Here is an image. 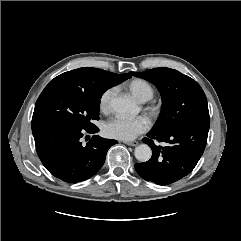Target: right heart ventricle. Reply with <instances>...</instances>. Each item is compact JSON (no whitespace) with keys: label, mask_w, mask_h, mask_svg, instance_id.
<instances>
[{"label":"right heart ventricle","mask_w":241,"mask_h":241,"mask_svg":"<svg viewBox=\"0 0 241 241\" xmlns=\"http://www.w3.org/2000/svg\"><path fill=\"white\" fill-rule=\"evenodd\" d=\"M129 92L139 101L145 102L154 96V89L149 82L144 79H134L127 84Z\"/></svg>","instance_id":"obj_1"}]
</instances>
